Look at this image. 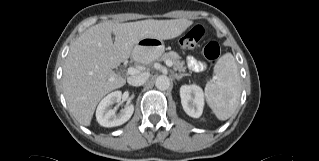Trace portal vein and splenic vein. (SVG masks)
I'll return each mask as SVG.
<instances>
[{
    "label": "portal vein and splenic vein",
    "instance_id": "18ae733b",
    "mask_svg": "<svg viewBox=\"0 0 319 161\" xmlns=\"http://www.w3.org/2000/svg\"><path fill=\"white\" fill-rule=\"evenodd\" d=\"M165 64H166L168 67H171V66H172V62L169 61V60L165 61ZM136 72H137L136 68H134V67H129V68H128V74L133 75V74H135Z\"/></svg>",
    "mask_w": 319,
    "mask_h": 161
}]
</instances>
